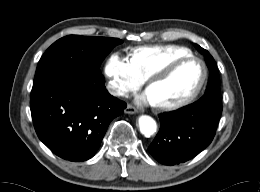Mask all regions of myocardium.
Wrapping results in <instances>:
<instances>
[{
  "mask_svg": "<svg viewBox=\"0 0 260 192\" xmlns=\"http://www.w3.org/2000/svg\"><path fill=\"white\" fill-rule=\"evenodd\" d=\"M189 62L196 63L199 66V68H200V76H199L197 84L195 85V87L188 94H186L182 98V101H185V100H188V99L192 98L194 95H196L199 92V90L203 86V83H204L205 78H206V69H205L203 63L200 60L196 59V58L181 59V60L175 61V62H173V63H171V64L161 68L160 70L154 72L153 74H151L147 78V87H148V89H150L152 87V85L154 83H156L157 81H160V80L168 77L177 67L181 66L182 64L189 63ZM159 104L161 106H163V107H169L173 103L159 102Z\"/></svg>",
  "mask_w": 260,
  "mask_h": 192,
  "instance_id": "f54148a6",
  "label": "myocardium"
}]
</instances>
